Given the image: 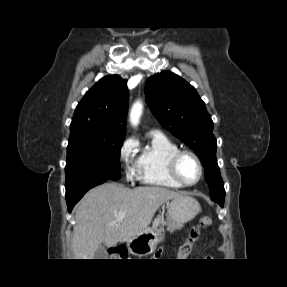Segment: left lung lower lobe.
<instances>
[{"label": "left lung lower lobe", "instance_id": "left-lung-lower-lobe-1", "mask_svg": "<svg viewBox=\"0 0 287 287\" xmlns=\"http://www.w3.org/2000/svg\"><path fill=\"white\" fill-rule=\"evenodd\" d=\"M221 207H223L224 202H217Z\"/></svg>", "mask_w": 287, "mask_h": 287}]
</instances>
